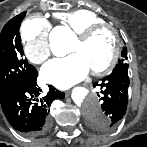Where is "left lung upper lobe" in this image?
Instances as JSON below:
<instances>
[{"label":"left lung upper lobe","mask_w":147,"mask_h":147,"mask_svg":"<svg viewBox=\"0 0 147 147\" xmlns=\"http://www.w3.org/2000/svg\"><path fill=\"white\" fill-rule=\"evenodd\" d=\"M121 59H119V63L116 65L115 69H118V68H121V67H128V64L126 62L127 60V48L126 47H123V50H122V53H121Z\"/></svg>","instance_id":"5c2ea615"}]
</instances>
